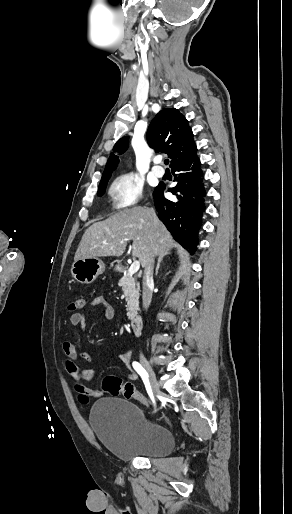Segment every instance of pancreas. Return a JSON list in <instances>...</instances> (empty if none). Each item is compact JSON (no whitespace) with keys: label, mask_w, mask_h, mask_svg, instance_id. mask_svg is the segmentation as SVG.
<instances>
[{"label":"pancreas","mask_w":292,"mask_h":514,"mask_svg":"<svg viewBox=\"0 0 292 514\" xmlns=\"http://www.w3.org/2000/svg\"><path fill=\"white\" fill-rule=\"evenodd\" d=\"M118 286H121L127 302V316L129 320H133L137 316L138 304H139V284L135 282L134 278H131L129 274H124L121 280H119Z\"/></svg>","instance_id":"cf45deb5"}]
</instances>
